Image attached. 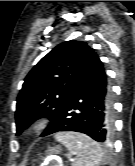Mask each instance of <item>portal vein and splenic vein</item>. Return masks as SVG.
I'll use <instances>...</instances> for the list:
<instances>
[{
	"instance_id": "obj_1",
	"label": "portal vein and splenic vein",
	"mask_w": 135,
	"mask_h": 166,
	"mask_svg": "<svg viewBox=\"0 0 135 166\" xmlns=\"http://www.w3.org/2000/svg\"><path fill=\"white\" fill-rule=\"evenodd\" d=\"M54 166H62V165H60V164H55Z\"/></svg>"
}]
</instances>
